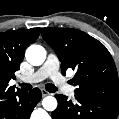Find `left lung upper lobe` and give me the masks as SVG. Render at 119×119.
<instances>
[{
	"label": "left lung upper lobe",
	"mask_w": 119,
	"mask_h": 119,
	"mask_svg": "<svg viewBox=\"0 0 119 119\" xmlns=\"http://www.w3.org/2000/svg\"><path fill=\"white\" fill-rule=\"evenodd\" d=\"M41 34L61 61V72L76 71V94L119 102L117 69L101 42L73 28L47 27Z\"/></svg>",
	"instance_id": "5c2ea615"
}]
</instances>
